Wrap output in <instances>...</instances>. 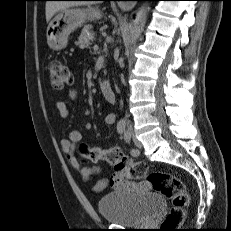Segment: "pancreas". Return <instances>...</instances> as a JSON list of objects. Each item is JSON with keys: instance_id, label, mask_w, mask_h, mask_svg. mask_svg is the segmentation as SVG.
<instances>
[{"instance_id": "1", "label": "pancreas", "mask_w": 231, "mask_h": 231, "mask_svg": "<svg viewBox=\"0 0 231 231\" xmlns=\"http://www.w3.org/2000/svg\"><path fill=\"white\" fill-rule=\"evenodd\" d=\"M94 35L95 34L91 31V28L86 26L82 29L78 41L75 44L80 48H89L94 41ZM90 37H92L91 40Z\"/></svg>"}]
</instances>
